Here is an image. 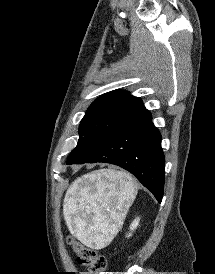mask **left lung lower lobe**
Listing matches in <instances>:
<instances>
[{"instance_id":"1","label":"left lung lower lobe","mask_w":215,"mask_h":274,"mask_svg":"<svg viewBox=\"0 0 215 274\" xmlns=\"http://www.w3.org/2000/svg\"><path fill=\"white\" fill-rule=\"evenodd\" d=\"M165 157L161 135L146 109L113 130L98 146L79 161L67 164L105 162L131 172L160 203L164 189Z\"/></svg>"}]
</instances>
